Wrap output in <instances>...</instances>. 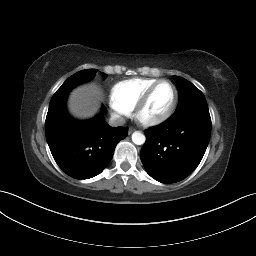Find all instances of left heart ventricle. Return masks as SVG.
Wrapping results in <instances>:
<instances>
[{
    "instance_id": "obj_1",
    "label": "left heart ventricle",
    "mask_w": 256,
    "mask_h": 256,
    "mask_svg": "<svg viewBox=\"0 0 256 256\" xmlns=\"http://www.w3.org/2000/svg\"><path fill=\"white\" fill-rule=\"evenodd\" d=\"M173 99V89L170 84H161L152 94L144 109L143 117H155L165 112Z\"/></svg>"
}]
</instances>
